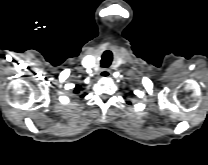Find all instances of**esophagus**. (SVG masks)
Instances as JSON below:
<instances>
[{"label":"esophagus","instance_id":"1","mask_svg":"<svg viewBox=\"0 0 208 165\" xmlns=\"http://www.w3.org/2000/svg\"><path fill=\"white\" fill-rule=\"evenodd\" d=\"M100 76L103 77V78H107L110 76V71L107 70V69H103L101 72H100Z\"/></svg>","mask_w":208,"mask_h":165}]
</instances>
